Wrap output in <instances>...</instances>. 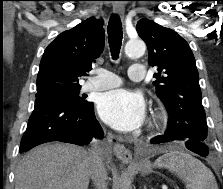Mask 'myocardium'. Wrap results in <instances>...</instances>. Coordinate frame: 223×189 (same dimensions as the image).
Segmentation results:
<instances>
[{
	"mask_svg": "<svg viewBox=\"0 0 223 189\" xmlns=\"http://www.w3.org/2000/svg\"><path fill=\"white\" fill-rule=\"evenodd\" d=\"M164 114L156 112L152 115L151 121H150V127L155 128L158 127L163 121H164Z\"/></svg>",
	"mask_w": 223,
	"mask_h": 189,
	"instance_id": "f54148a6",
	"label": "myocardium"
}]
</instances>
